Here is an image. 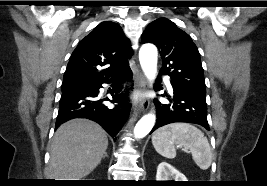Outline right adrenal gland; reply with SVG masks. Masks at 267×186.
<instances>
[{
    "label": "right adrenal gland",
    "mask_w": 267,
    "mask_h": 186,
    "mask_svg": "<svg viewBox=\"0 0 267 186\" xmlns=\"http://www.w3.org/2000/svg\"><path fill=\"white\" fill-rule=\"evenodd\" d=\"M105 157H108V155H107V153H106V152L104 153L103 159H104Z\"/></svg>",
    "instance_id": "obj_1"
}]
</instances>
